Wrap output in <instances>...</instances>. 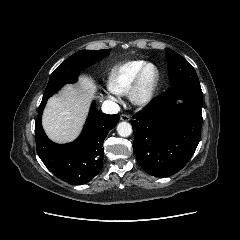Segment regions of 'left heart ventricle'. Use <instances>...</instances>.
Wrapping results in <instances>:
<instances>
[{
    "label": "left heart ventricle",
    "mask_w": 240,
    "mask_h": 240,
    "mask_svg": "<svg viewBox=\"0 0 240 240\" xmlns=\"http://www.w3.org/2000/svg\"><path fill=\"white\" fill-rule=\"evenodd\" d=\"M153 69H148V71H147V73H146V80L147 81H149L151 78H152V76H153Z\"/></svg>",
    "instance_id": "1"
}]
</instances>
